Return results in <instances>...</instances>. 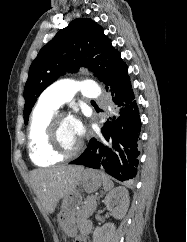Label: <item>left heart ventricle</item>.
Here are the masks:
<instances>
[{"label":"left heart ventricle","mask_w":187,"mask_h":242,"mask_svg":"<svg viewBox=\"0 0 187 242\" xmlns=\"http://www.w3.org/2000/svg\"><path fill=\"white\" fill-rule=\"evenodd\" d=\"M56 135L57 144L64 151L74 149L79 142V138L74 132L70 119H64L59 122Z\"/></svg>","instance_id":"obj_1"}]
</instances>
